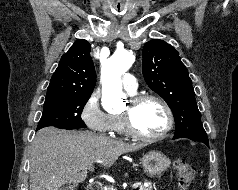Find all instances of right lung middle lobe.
<instances>
[{
  "instance_id": "1",
  "label": "right lung middle lobe",
  "mask_w": 238,
  "mask_h": 190,
  "mask_svg": "<svg viewBox=\"0 0 238 190\" xmlns=\"http://www.w3.org/2000/svg\"><path fill=\"white\" fill-rule=\"evenodd\" d=\"M89 97V95H68L46 98L37 130L46 126H56L62 129L85 128L81 119V111Z\"/></svg>"
}]
</instances>
